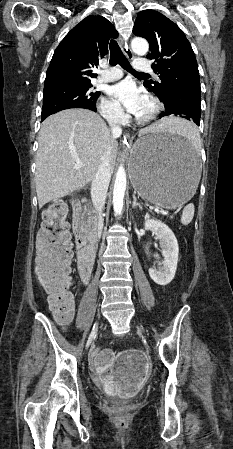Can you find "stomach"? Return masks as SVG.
<instances>
[{"label": "stomach", "mask_w": 233, "mask_h": 449, "mask_svg": "<svg viewBox=\"0 0 233 449\" xmlns=\"http://www.w3.org/2000/svg\"><path fill=\"white\" fill-rule=\"evenodd\" d=\"M201 164L190 142L177 133L142 135L133 145L129 176L137 194L150 203L174 209L195 193Z\"/></svg>", "instance_id": "0dacf381"}]
</instances>
